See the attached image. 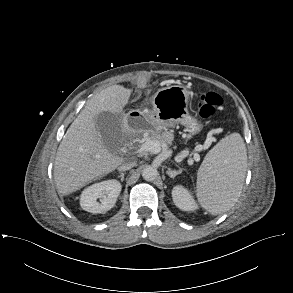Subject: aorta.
Instances as JSON below:
<instances>
[{
  "label": "aorta",
  "mask_w": 293,
  "mask_h": 293,
  "mask_svg": "<svg viewBox=\"0 0 293 293\" xmlns=\"http://www.w3.org/2000/svg\"><path fill=\"white\" fill-rule=\"evenodd\" d=\"M157 176L158 170L152 165H148L142 170V177L146 181H153L157 178Z\"/></svg>",
  "instance_id": "aorta-1"
}]
</instances>
